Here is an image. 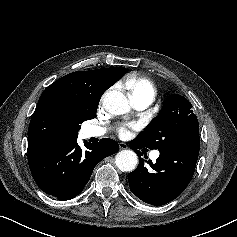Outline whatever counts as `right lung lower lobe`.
<instances>
[{"label": "right lung lower lobe", "mask_w": 237, "mask_h": 237, "mask_svg": "<svg viewBox=\"0 0 237 237\" xmlns=\"http://www.w3.org/2000/svg\"><path fill=\"white\" fill-rule=\"evenodd\" d=\"M77 137L48 140L28 148V164L36 184L60 200L77 196L94 167L119 150L118 143L109 138L94 144L84 143L86 150H82Z\"/></svg>", "instance_id": "1"}]
</instances>
